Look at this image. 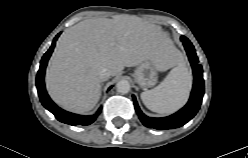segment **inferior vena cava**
<instances>
[{"instance_id": "obj_1", "label": "inferior vena cava", "mask_w": 248, "mask_h": 158, "mask_svg": "<svg viewBox=\"0 0 248 158\" xmlns=\"http://www.w3.org/2000/svg\"><path fill=\"white\" fill-rule=\"evenodd\" d=\"M111 76V71L108 68H103L100 71L99 77L102 81H106Z\"/></svg>"}]
</instances>
